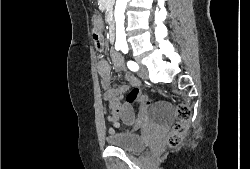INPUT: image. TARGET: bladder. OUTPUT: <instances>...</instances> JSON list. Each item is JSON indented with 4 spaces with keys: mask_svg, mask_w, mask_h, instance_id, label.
Returning <instances> with one entry per match:
<instances>
[{
    "mask_svg": "<svg viewBox=\"0 0 250 169\" xmlns=\"http://www.w3.org/2000/svg\"><path fill=\"white\" fill-rule=\"evenodd\" d=\"M106 142L114 149L123 150L129 154H136L146 149L149 145H142L139 134H109Z\"/></svg>",
    "mask_w": 250,
    "mask_h": 169,
    "instance_id": "31cf9c89",
    "label": "bladder"
}]
</instances>
